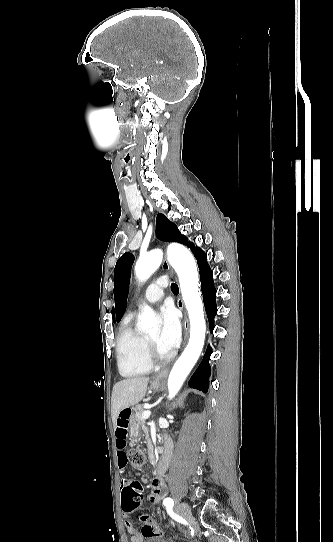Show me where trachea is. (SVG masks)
I'll use <instances>...</instances> for the list:
<instances>
[{
  "label": "trachea",
  "mask_w": 333,
  "mask_h": 542,
  "mask_svg": "<svg viewBox=\"0 0 333 542\" xmlns=\"http://www.w3.org/2000/svg\"><path fill=\"white\" fill-rule=\"evenodd\" d=\"M171 290H172V291H178V285L172 283V284H171Z\"/></svg>",
  "instance_id": "3493384b"
}]
</instances>
